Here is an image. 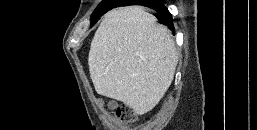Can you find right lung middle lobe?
<instances>
[{"label":"right lung middle lobe","instance_id":"right-lung-middle-lobe-1","mask_svg":"<svg viewBox=\"0 0 257 130\" xmlns=\"http://www.w3.org/2000/svg\"><path fill=\"white\" fill-rule=\"evenodd\" d=\"M121 2L119 0H102L101 3L97 6L95 11L91 16V24L93 25L101 15L113 7H119ZM127 2V1H124Z\"/></svg>","mask_w":257,"mask_h":130}]
</instances>
